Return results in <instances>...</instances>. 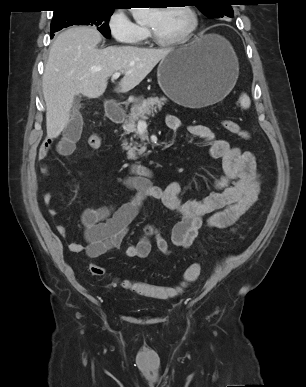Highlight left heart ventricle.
<instances>
[{"instance_id":"b2bd125f","label":"left heart ventricle","mask_w":306,"mask_h":387,"mask_svg":"<svg viewBox=\"0 0 306 387\" xmlns=\"http://www.w3.org/2000/svg\"><path fill=\"white\" fill-rule=\"evenodd\" d=\"M191 19L181 7H168L151 11L147 26L163 40H172L181 37L189 28Z\"/></svg>"}]
</instances>
